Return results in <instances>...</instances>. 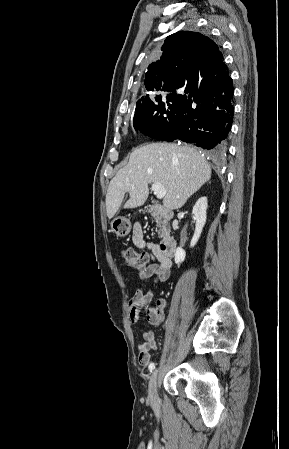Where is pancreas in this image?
<instances>
[{"label":"pancreas","mask_w":289,"mask_h":449,"mask_svg":"<svg viewBox=\"0 0 289 449\" xmlns=\"http://www.w3.org/2000/svg\"><path fill=\"white\" fill-rule=\"evenodd\" d=\"M154 219H155V222H156V227H157V230H158V232H159V234H160V237H162L163 236V234L166 232V225H165V222L163 221V219L160 217V216H158V215H156L155 217H154Z\"/></svg>","instance_id":"obj_1"}]
</instances>
